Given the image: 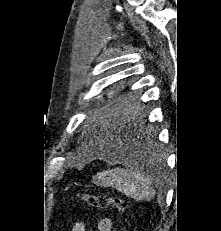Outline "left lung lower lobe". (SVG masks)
<instances>
[{
	"label": "left lung lower lobe",
	"instance_id": "obj_1",
	"mask_svg": "<svg viewBox=\"0 0 221 231\" xmlns=\"http://www.w3.org/2000/svg\"><path fill=\"white\" fill-rule=\"evenodd\" d=\"M143 125L128 116H123L117 126V139L123 143V153L134 154L139 147L144 146L146 150L153 151V143L149 138L143 136ZM146 135V134H145Z\"/></svg>",
	"mask_w": 221,
	"mask_h": 231
}]
</instances>
